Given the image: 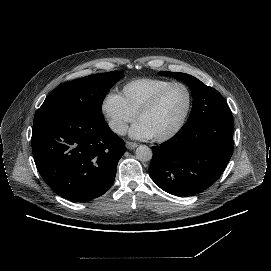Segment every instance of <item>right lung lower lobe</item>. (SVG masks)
Returning a JSON list of instances; mask_svg holds the SVG:
<instances>
[{
	"mask_svg": "<svg viewBox=\"0 0 271 271\" xmlns=\"http://www.w3.org/2000/svg\"><path fill=\"white\" fill-rule=\"evenodd\" d=\"M32 151L48 186L63 198L85 202L112 186L125 143L104 119L54 116L33 124Z\"/></svg>",
	"mask_w": 271,
	"mask_h": 271,
	"instance_id": "1",
	"label": "right lung lower lobe"
}]
</instances>
